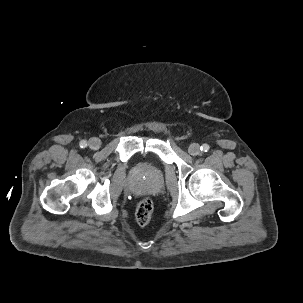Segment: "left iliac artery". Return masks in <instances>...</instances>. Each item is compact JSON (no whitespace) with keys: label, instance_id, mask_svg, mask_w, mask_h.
<instances>
[{"label":"left iliac artery","instance_id":"1","mask_svg":"<svg viewBox=\"0 0 303 303\" xmlns=\"http://www.w3.org/2000/svg\"><path fill=\"white\" fill-rule=\"evenodd\" d=\"M209 145L208 144H203L202 146H201V151H203V152H207L208 150H209Z\"/></svg>","mask_w":303,"mask_h":303}]
</instances>
